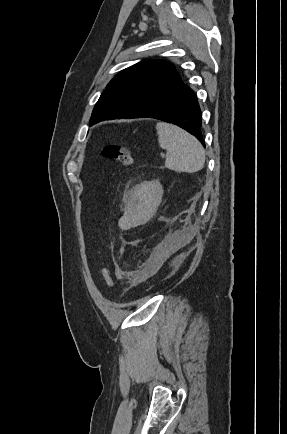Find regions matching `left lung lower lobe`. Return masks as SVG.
<instances>
[{"instance_id":"0a47b994","label":"left lung lower lobe","mask_w":287,"mask_h":434,"mask_svg":"<svg viewBox=\"0 0 287 434\" xmlns=\"http://www.w3.org/2000/svg\"><path fill=\"white\" fill-rule=\"evenodd\" d=\"M131 118H155L173 123L194 135L205 146L197 97L184 83L158 102L143 107Z\"/></svg>"}]
</instances>
